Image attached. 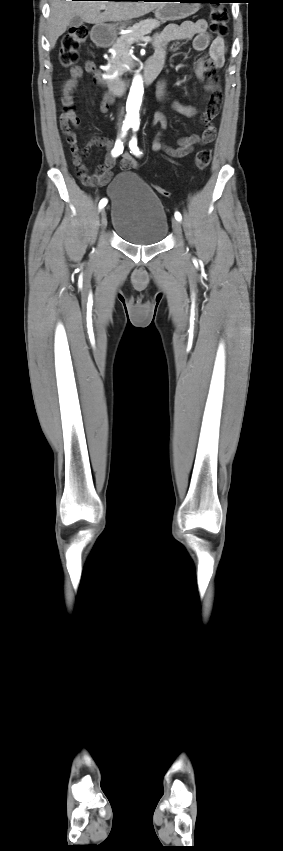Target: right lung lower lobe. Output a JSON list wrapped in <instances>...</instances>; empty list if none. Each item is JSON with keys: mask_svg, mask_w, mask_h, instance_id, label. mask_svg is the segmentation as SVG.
<instances>
[{"mask_svg": "<svg viewBox=\"0 0 283 851\" xmlns=\"http://www.w3.org/2000/svg\"><path fill=\"white\" fill-rule=\"evenodd\" d=\"M120 1H151V0H120Z\"/></svg>", "mask_w": 283, "mask_h": 851, "instance_id": "right-lung-lower-lobe-1", "label": "right lung lower lobe"}]
</instances>
